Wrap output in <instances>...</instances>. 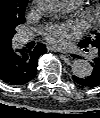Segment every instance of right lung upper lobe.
<instances>
[{
  "mask_svg": "<svg viewBox=\"0 0 100 118\" xmlns=\"http://www.w3.org/2000/svg\"><path fill=\"white\" fill-rule=\"evenodd\" d=\"M28 0H0V53L12 48L16 26L25 22Z\"/></svg>",
  "mask_w": 100,
  "mask_h": 118,
  "instance_id": "1",
  "label": "right lung upper lobe"
}]
</instances>
